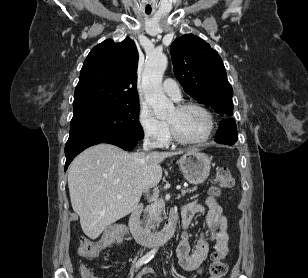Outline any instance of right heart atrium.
Returning a JSON list of instances; mask_svg holds the SVG:
<instances>
[{
  "instance_id": "right-heart-atrium-1",
  "label": "right heart atrium",
  "mask_w": 308,
  "mask_h": 278,
  "mask_svg": "<svg viewBox=\"0 0 308 278\" xmlns=\"http://www.w3.org/2000/svg\"><path fill=\"white\" fill-rule=\"evenodd\" d=\"M138 123L146 141L156 147L167 145L170 140V129L165 122L157 119L148 107H140Z\"/></svg>"
}]
</instances>
